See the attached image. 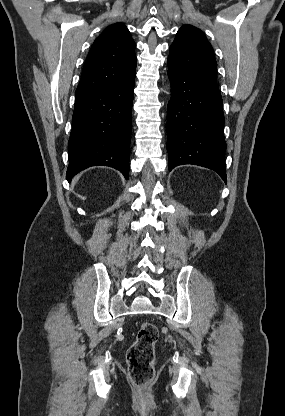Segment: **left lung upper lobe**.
Here are the masks:
<instances>
[{"label":"left lung upper lobe","instance_id":"obj_1","mask_svg":"<svg viewBox=\"0 0 285 416\" xmlns=\"http://www.w3.org/2000/svg\"><path fill=\"white\" fill-rule=\"evenodd\" d=\"M168 60L199 78L217 84V63L212 46L204 33L192 25L180 28L170 46Z\"/></svg>","mask_w":285,"mask_h":416}]
</instances>
